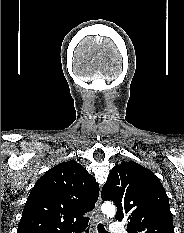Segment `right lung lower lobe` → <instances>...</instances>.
<instances>
[{"label":"right lung lower lobe","mask_w":184,"mask_h":233,"mask_svg":"<svg viewBox=\"0 0 184 233\" xmlns=\"http://www.w3.org/2000/svg\"><path fill=\"white\" fill-rule=\"evenodd\" d=\"M87 223L88 222H86V223H84V224H82V225H80L78 227H75L74 229L68 231L67 233H79V232H81V231H83V230L86 229V227L88 226ZM86 233H89V229L86 230Z\"/></svg>","instance_id":"1"}]
</instances>
